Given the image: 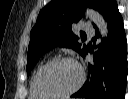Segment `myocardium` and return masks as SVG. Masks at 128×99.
Wrapping results in <instances>:
<instances>
[{"instance_id":"obj_1","label":"myocardium","mask_w":128,"mask_h":99,"mask_svg":"<svg viewBox=\"0 0 128 99\" xmlns=\"http://www.w3.org/2000/svg\"><path fill=\"white\" fill-rule=\"evenodd\" d=\"M63 62H71L74 63L80 71V79L79 82L70 90L65 91V92H61V93H48L43 91L40 86H39V77L41 75V73L48 67L58 64V63H63ZM86 79V75H85V71L82 67V65L73 57H58V58H54L48 62H46L45 64H43L42 66H40L38 68V70L35 73L34 76V88L36 90V92L38 94H40L41 96H45V97H49V98H65V97H69L71 95H73L74 93H76L84 84Z\"/></svg>"}]
</instances>
